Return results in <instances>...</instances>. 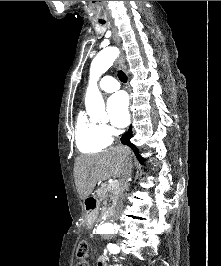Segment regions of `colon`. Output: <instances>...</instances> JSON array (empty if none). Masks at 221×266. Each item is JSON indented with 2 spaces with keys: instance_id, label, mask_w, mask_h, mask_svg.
Returning <instances> with one entry per match:
<instances>
[{
  "instance_id": "obj_1",
  "label": "colon",
  "mask_w": 221,
  "mask_h": 266,
  "mask_svg": "<svg viewBox=\"0 0 221 266\" xmlns=\"http://www.w3.org/2000/svg\"><path fill=\"white\" fill-rule=\"evenodd\" d=\"M86 254H87V245L85 243H82L78 251V257L80 260L76 266H90L89 263L86 260H84Z\"/></svg>"
}]
</instances>
